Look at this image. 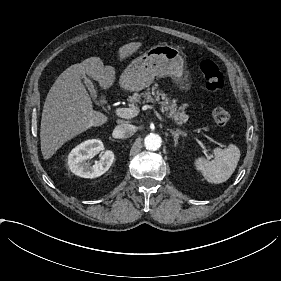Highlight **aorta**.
Masks as SVG:
<instances>
[{"label": "aorta", "mask_w": 281, "mask_h": 281, "mask_svg": "<svg viewBox=\"0 0 281 281\" xmlns=\"http://www.w3.org/2000/svg\"><path fill=\"white\" fill-rule=\"evenodd\" d=\"M144 144L146 149L156 151L161 147L162 139L159 135L151 133L145 137Z\"/></svg>", "instance_id": "obj_1"}]
</instances>
